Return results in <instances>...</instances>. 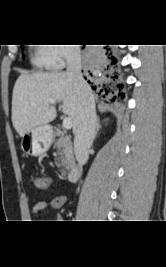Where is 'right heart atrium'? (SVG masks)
Listing matches in <instances>:
<instances>
[{"label": "right heart atrium", "instance_id": "right-heart-atrium-1", "mask_svg": "<svg viewBox=\"0 0 166 267\" xmlns=\"http://www.w3.org/2000/svg\"><path fill=\"white\" fill-rule=\"evenodd\" d=\"M49 68L60 69L66 61L77 57V51L73 46L51 44L47 47Z\"/></svg>", "mask_w": 166, "mask_h": 267}]
</instances>
